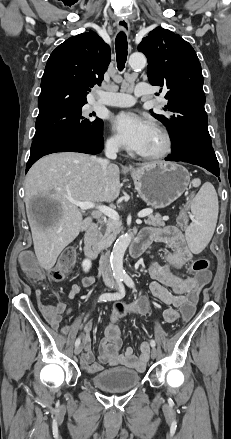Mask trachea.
<instances>
[{
    "mask_svg": "<svg viewBox=\"0 0 231 439\" xmlns=\"http://www.w3.org/2000/svg\"><path fill=\"white\" fill-rule=\"evenodd\" d=\"M115 48H116V57H117V67L120 71H122L125 67L127 53H128L127 37L123 31L119 32L116 37Z\"/></svg>",
    "mask_w": 231,
    "mask_h": 439,
    "instance_id": "trachea-1",
    "label": "trachea"
}]
</instances>
